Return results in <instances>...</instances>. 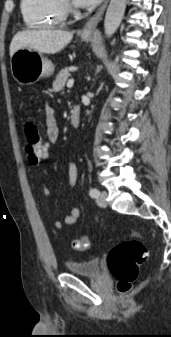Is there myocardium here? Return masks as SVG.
<instances>
[{
	"label": "myocardium",
	"instance_id": "f54148a6",
	"mask_svg": "<svg viewBox=\"0 0 171 337\" xmlns=\"http://www.w3.org/2000/svg\"><path fill=\"white\" fill-rule=\"evenodd\" d=\"M60 1H61L62 7H63L65 13L69 12L70 11L69 0H60Z\"/></svg>",
	"mask_w": 171,
	"mask_h": 337
}]
</instances>
